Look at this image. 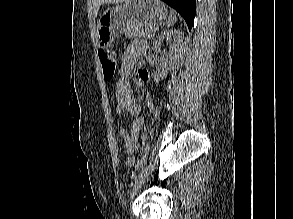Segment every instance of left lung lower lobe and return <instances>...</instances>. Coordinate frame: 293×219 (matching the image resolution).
I'll list each match as a JSON object with an SVG mask.
<instances>
[{
	"label": "left lung lower lobe",
	"mask_w": 293,
	"mask_h": 219,
	"mask_svg": "<svg viewBox=\"0 0 293 219\" xmlns=\"http://www.w3.org/2000/svg\"><path fill=\"white\" fill-rule=\"evenodd\" d=\"M174 8L185 19L189 30H191L196 14V0H162Z\"/></svg>",
	"instance_id": "1"
}]
</instances>
